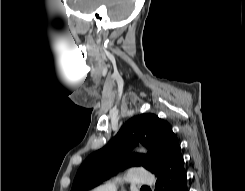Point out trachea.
Returning a JSON list of instances; mask_svg holds the SVG:
<instances>
[{
    "instance_id": "obj_1",
    "label": "trachea",
    "mask_w": 245,
    "mask_h": 191,
    "mask_svg": "<svg viewBox=\"0 0 245 191\" xmlns=\"http://www.w3.org/2000/svg\"><path fill=\"white\" fill-rule=\"evenodd\" d=\"M146 188H148V187H146V186H143V187H142V189H146Z\"/></svg>"
}]
</instances>
